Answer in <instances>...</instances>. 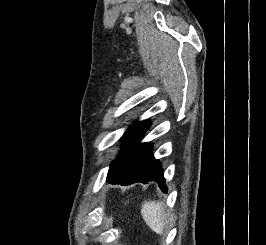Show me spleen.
<instances>
[{
	"label": "spleen",
	"instance_id": "1",
	"mask_svg": "<svg viewBox=\"0 0 266 245\" xmlns=\"http://www.w3.org/2000/svg\"><path fill=\"white\" fill-rule=\"evenodd\" d=\"M141 215L146 225H148L154 233L162 235L165 225L163 203H158V201H144L141 207Z\"/></svg>",
	"mask_w": 266,
	"mask_h": 245
}]
</instances>
